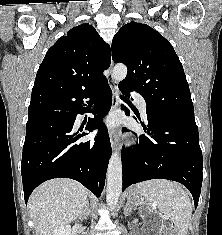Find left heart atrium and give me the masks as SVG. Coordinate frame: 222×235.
Listing matches in <instances>:
<instances>
[{
  "mask_svg": "<svg viewBox=\"0 0 222 235\" xmlns=\"http://www.w3.org/2000/svg\"><path fill=\"white\" fill-rule=\"evenodd\" d=\"M118 122L119 119L116 115H110L105 120V124L110 128H114L115 126H117Z\"/></svg>",
  "mask_w": 222,
  "mask_h": 235,
  "instance_id": "obj_1",
  "label": "left heart atrium"
}]
</instances>
